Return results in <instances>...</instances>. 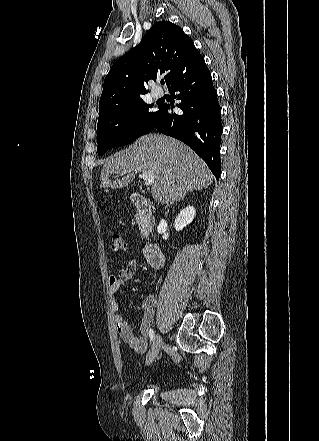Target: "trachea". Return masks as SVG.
<instances>
[{
	"label": "trachea",
	"mask_w": 319,
	"mask_h": 441,
	"mask_svg": "<svg viewBox=\"0 0 319 441\" xmlns=\"http://www.w3.org/2000/svg\"><path fill=\"white\" fill-rule=\"evenodd\" d=\"M162 85L164 84V80H161V82H160Z\"/></svg>",
	"instance_id": "trachea-1"
}]
</instances>
